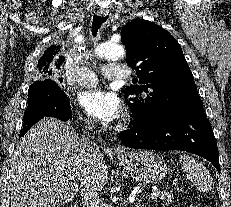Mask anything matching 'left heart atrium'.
Segmentation results:
<instances>
[{
	"mask_svg": "<svg viewBox=\"0 0 231 207\" xmlns=\"http://www.w3.org/2000/svg\"><path fill=\"white\" fill-rule=\"evenodd\" d=\"M79 102L88 115L105 123L113 122L122 115V103L119 97L101 88L82 92Z\"/></svg>",
	"mask_w": 231,
	"mask_h": 207,
	"instance_id": "left-heart-atrium-1",
	"label": "left heart atrium"
}]
</instances>
